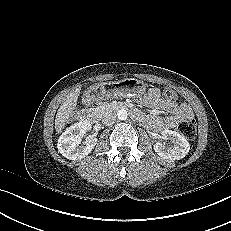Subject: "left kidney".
Returning a JSON list of instances; mask_svg holds the SVG:
<instances>
[{"mask_svg": "<svg viewBox=\"0 0 231 231\" xmlns=\"http://www.w3.org/2000/svg\"><path fill=\"white\" fill-rule=\"evenodd\" d=\"M161 135L163 140L170 141L171 144L157 142L154 145V150L160 157L175 161L180 160L187 155L190 150V145L183 135L172 130H164Z\"/></svg>", "mask_w": 231, "mask_h": 231, "instance_id": "5707ae66", "label": "left kidney"}]
</instances>
